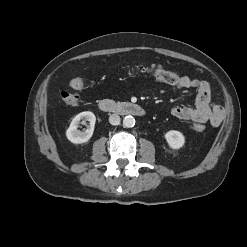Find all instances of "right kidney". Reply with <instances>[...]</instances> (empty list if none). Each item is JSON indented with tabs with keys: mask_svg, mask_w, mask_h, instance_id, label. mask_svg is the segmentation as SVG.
Segmentation results:
<instances>
[{
	"mask_svg": "<svg viewBox=\"0 0 247 247\" xmlns=\"http://www.w3.org/2000/svg\"><path fill=\"white\" fill-rule=\"evenodd\" d=\"M82 120V124L89 122V128L85 131L78 130V125ZM96 122V117L93 112L85 111L76 115L71 121L68 129L66 130L67 139L74 144L86 143L90 140L94 132V126Z\"/></svg>",
	"mask_w": 247,
	"mask_h": 247,
	"instance_id": "right-kidney-1",
	"label": "right kidney"
}]
</instances>
